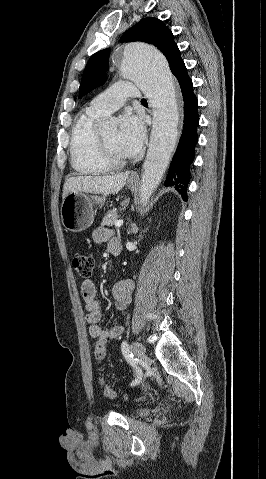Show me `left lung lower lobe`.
I'll list each match as a JSON object with an SVG mask.
<instances>
[{
    "label": "left lung lower lobe",
    "mask_w": 266,
    "mask_h": 479,
    "mask_svg": "<svg viewBox=\"0 0 266 479\" xmlns=\"http://www.w3.org/2000/svg\"><path fill=\"white\" fill-rule=\"evenodd\" d=\"M181 87L184 100V125L177 150L172 158L165 185L174 186L187 201L186 187L190 178V165L194 160L195 146L198 141L197 125L199 116L197 98L193 93V84L187 74L184 62L173 72Z\"/></svg>",
    "instance_id": "obj_1"
}]
</instances>
